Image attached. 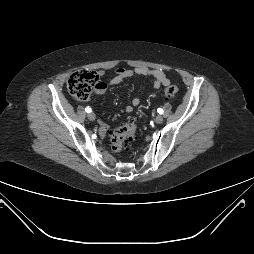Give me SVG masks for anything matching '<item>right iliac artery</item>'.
I'll list each match as a JSON object with an SVG mask.
<instances>
[{
  "instance_id": "1",
  "label": "right iliac artery",
  "mask_w": 254,
  "mask_h": 254,
  "mask_svg": "<svg viewBox=\"0 0 254 254\" xmlns=\"http://www.w3.org/2000/svg\"><path fill=\"white\" fill-rule=\"evenodd\" d=\"M85 111H86L87 113H90L92 110H91L90 107H86V108H85Z\"/></svg>"
}]
</instances>
